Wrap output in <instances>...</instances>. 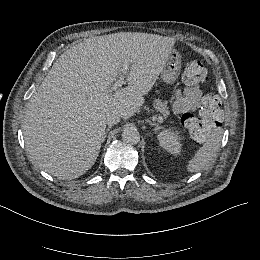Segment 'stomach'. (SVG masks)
I'll return each instance as SVG.
<instances>
[{
	"instance_id": "0dacf381",
	"label": "stomach",
	"mask_w": 260,
	"mask_h": 260,
	"mask_svg": "<svg viewBox=\"0 0 260 260\" xmlns=\"http://www.w3.org/2000/svg\"><path fill=\"white\" fill-rule=\"evenodd\" d=\"M183 60V53L179 49H172L168 53V60L161 72V78L166 84H173L180 74V62Z\"/></svg>"
}]
</instances>
